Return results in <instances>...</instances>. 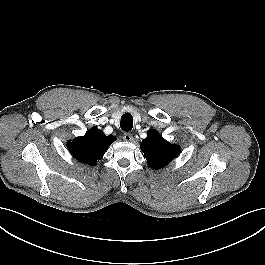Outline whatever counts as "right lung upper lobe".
Instances as JSON below:
<instances>
[{"instance_id": "1", "label": "right lung upper lobe", "mask_w": 265, "mask_h": 265, "mask_svg": "<svg viewBox=\"0 0 265 265\" xmlns=\"http://www.w3.org/2000/svg\"><path fill=\"white\" fill-rule=\"evenodd\" d=\"M115 140L114 136H106L102 130L91 128L84 136L69 141L67 147L78 161L94 165Z\"/></svg>"}]
</instances>
